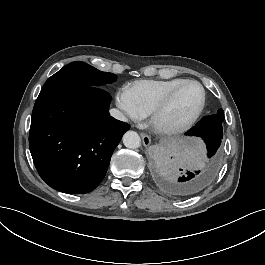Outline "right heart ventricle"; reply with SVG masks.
Segmentation results:
<instances>
[{"mask_svg":"<svg viewBox=\"0 0 265 265\" xmlns=\"http://www.w3.org/2000/svg\"><path fill=\"white\" fill-rule=\"evenodd\" d=\"M185 78L174 77L163 80H138L128 85L139 111L149 115L172 89Z\"/></svg>","mask_w":265,"mask_h":265,"instance_id":"right-heart-ventricle-1","label":"right heart ventricle"}]
</instances>
